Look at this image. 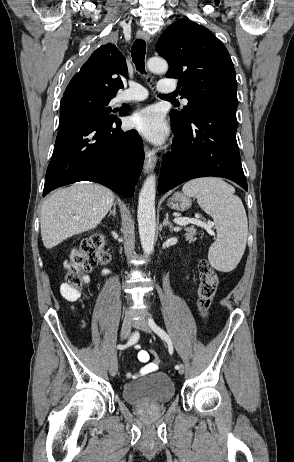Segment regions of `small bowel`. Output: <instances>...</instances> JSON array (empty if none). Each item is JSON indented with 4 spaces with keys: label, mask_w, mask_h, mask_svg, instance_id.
Masks as SVG:
<instances>
[{
    "label": "small bowel",
    "mask_w": 294,
    "mask_h": 462,
    "mask_svg": "<svg viewBox=\"0 0 294 462\" xmlns=\"http://www.w3.org/2000/svg\"><path fill=\"white\" fill-rule=\"evenodd\" d=\"M105 273H108V270H104ZM136 349H140L138 345L135 346ZM138 360L143 363V367L136 373L128 372L126 374L127 378H136L138 376L146 375L158 370V363L150 361V354L145 350H139Z\"/></svg>",
    "instance_id": "c3829d8e"
}]
</instances>
